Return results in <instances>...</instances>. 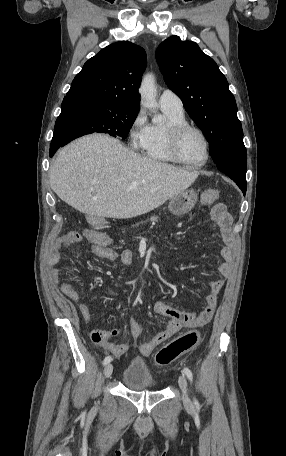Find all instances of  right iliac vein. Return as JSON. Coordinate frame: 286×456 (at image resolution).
<instances>
[{"label":"right iliac vein","mask_w":286,"mask_h":456,"mask_svg":"<svg viewBox=\"0 0 286 456\" xmlns=\"http://www.w3.org/2000/svg\"><path fill=\"white\" fill-rule=\"evenodd\" d=\"M113 372V365L111 363L107 364L104 368V376L105 378H109Z\"/></svg>","instance_id":"63e3f726"}]
</instances>
